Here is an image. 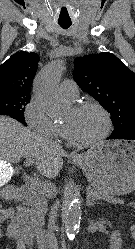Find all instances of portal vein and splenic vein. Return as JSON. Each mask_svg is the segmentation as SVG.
Listing matches in <instances>:
<instances>
[{"label": "portal vein and splenic vein", "mask_w": 135, "mask_h": 249, "mask_svg": "<svg viewBox=\"0 0 135 249\" xmlns=\"http://www.w3.org/2000/svg\"><path fill=\"white\" fill-rule=\"evenodd\" d=\"M34 162V160L32 158H26V165L30 166L32 165ZM2 171L1 174L6 177H8L7 173H10L11 168L9 166V164L7 165H3L2 166ZM29 183L31 184V186L33 188H35L36 190H38L39 192H47L48 191V187L46 185L43 184V182H41L38 178H28Z\"/></svg>", "instance_id": "18ae733b"}]
</instances>
